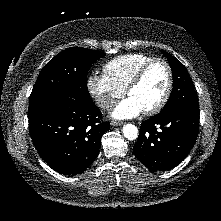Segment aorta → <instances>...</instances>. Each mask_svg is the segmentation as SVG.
Wrapping results in <instances>:
<instances>
[{
    "label": "aorta",
    "instance_id": "1",
    "mask_svg": "<svg viewBox=\"0 0 221 221\" xmlns=\"http://www.w3.org/2000/svg\"><path fill=\"white\" fill-rule=\"evenodd\" d=\"M122 133L128 140H135L138 137V129L133 124H125L122 128Z\"/></svg>",
    "mask_w": 221,
    "mask_h": 221
}]
</instances>
